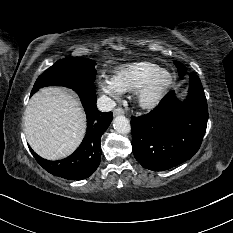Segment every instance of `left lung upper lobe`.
<instances>
[{
    "label": "left lung upper lobe",
    "mask_w": 233,
    "mask_h": 233,
    "mask_svg": "<svg viewBox=\"0 0 233 233\" xmlns=\"http://www.w3.org/2000/svg\"><path fill=\"white\" fill-rule=\"evenodd\" d=\"M174 63L176 65L177 69H178L179 76L183 77L186 74V68H185V66L182 63H180V62H174Z\"/></svg>",
    "instance_id": "left-lung-upper-lobe-1"
}]
</instances>
